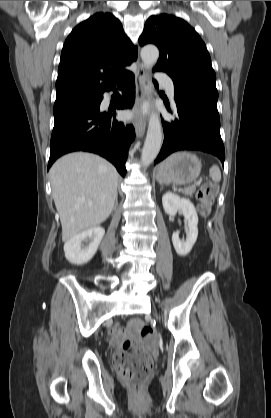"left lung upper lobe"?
<instances>
[{
    "label": "left lung upper lobe",
    "instance_id": "obj_1",
    "mask_svg": "<svg viewBox=\"0 0 271 418\" xmlns=\"http://www.w3.org/2000/svg\"><path fill=\"white\" fill-rule=\"evenodd\" d=\"M152 43L160 50L155 70L166 72L174 85L193 87L215 96L216 75L210 55L197 32L181 18L151 16L139 38L141 46Z\"/></svg>",
    "mask_w": 271,
    "mask_h": 418
}]
</instances>
